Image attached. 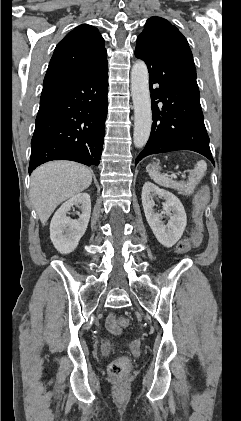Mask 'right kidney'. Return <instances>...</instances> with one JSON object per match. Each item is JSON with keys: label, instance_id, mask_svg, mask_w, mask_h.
Segmentation results:
<instances>
[{"label": "right kidney", "instance_id": "right-kidney-1", "mask_svg": "<svg viewBox=\"0 0 241 421\" xmlns=\"http://www.w3.org/2000/svg\"><path fill=\"white\" fill-rule=\"evenodd\" d=\"M73 206L81 210L78 220L67 217ZM91 214V199L87 193H79L55 212L50 223V239L54 247L63 254L72 252L84 235Z\"/></svg>", "mask_w": 241, "mask_h": 421}]
</instances>
